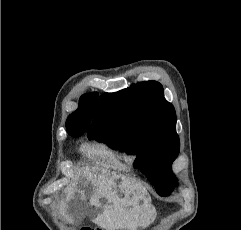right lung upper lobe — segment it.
Returning a JSON list of instances; mask_svg holds the SVG:
<instances>
[{
  "label": "right lung upper lobe",
  "instance_id": "obj_1",
  "mask_svg": "<svg viewBox=\"0 0 241 230\" xmlns=\"http://www.w3.org/2000/svg\"><path fill=\"white\" fill-rule=\"evenodd\" d=\"M98 93L84 94L80 98L78 109L69 115L66 121V128L68 133L77 130H86L94 113L97 102Z\"/></svg>",
  "mask_w": 241,
  "mask_h": 230
}]
</instances>
